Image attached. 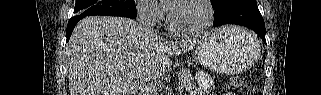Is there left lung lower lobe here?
Returning a JSON list of instances; mask_svg holds the SVG:
<instances>
[{"instance_id":"left-lung-lower-lobe-1","label":"left lung lower lobe","mask_w":321,"mask_h":95,"mask_svg":"<svg viewBox=\"0 0 321 95\" xmlns=\"http://www.w3.org/2000/svg\"><path fill=\"white\" fill-rule=\"evenodd\" d=\"M214 26L236 24L255 31L266 44L265 24L257 7L256 0H223L216 8Z\"/></svg>"}]
</instances>
